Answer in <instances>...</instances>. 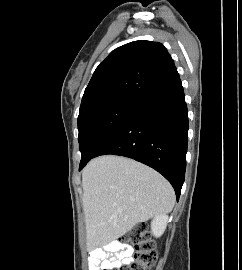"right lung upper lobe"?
<instances>
[{"label": "right lung upper lobe", "mask_w": 242, "mask_h": 270, "mask_svg": "<svg viewBox=\"0 0 242 270\" xmlns=\"http://www.w3.org/2000/svg\"><path fill=\"white\" fill-rule=\"evenodd\" d=\"M178 77L174 61L161 43L140 40L125 44L96 68L79 113L118 100L137 103Z\"/></svg>", "instance_id": "obj_1"}]
</instances>
